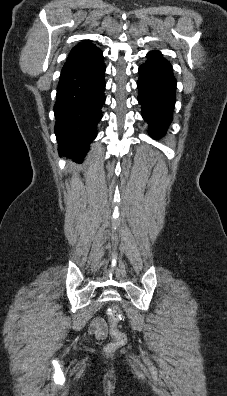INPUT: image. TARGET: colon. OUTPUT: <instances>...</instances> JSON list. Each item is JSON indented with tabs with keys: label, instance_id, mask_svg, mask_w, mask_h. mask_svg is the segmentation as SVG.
<instances>
[{
	"label": "colon",
	"instance_id": "5ec220e1",
	"mask_svg": "<svg viewBox=\"0 0 227 396\" xmlns=\"http://www.w3.org/2000/svg\"><path fill=\"white\" fill-rule=\"evenodd\" d=\"M108 319L111 324V341L107 345V350L112 351L124 346L127 342L126 335L118 328L122 317V311L118 305H112L107 311Z\"/></svg>",
	"mask_w": 227,
	"mask_h": 396
}]
</instances>
